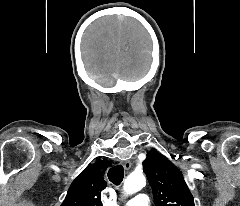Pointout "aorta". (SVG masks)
<instances>
[{"instance_id": "1", "label": "aorta", "mask_w": 240, "mask_h": 206, "mask_svg": "<svg viewBox=\"0 0 240 206\" xmlns=\"http://www.w3.org/2000/svg\"><path fill=\"white\" fill-rule=\"evenodd\" d=\"M146 184V179L141 172L130 174L124 181L123 191L126 195L140 191Z\"/></svg>"}]
</instances>
